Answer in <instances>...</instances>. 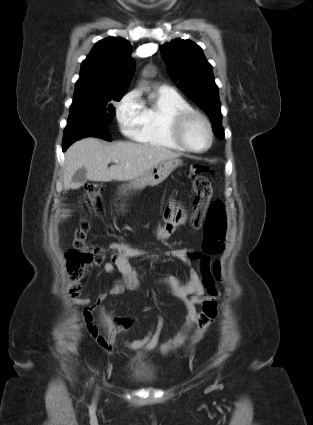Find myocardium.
<instances>
[{
	"mask_svg": "<svg viewBox=\"0 0 313 425\" xmlns=\"http://www.w3.org/2000/svg\"><path fill=\"white\" fill-rule=\"evenodd\" d=\"M194 119L201 120L205 124L208 132V144L202 149L193 148L189 145L185 138L186 128ZM172 135L181 147H183L186 151L193 153H202L207 151L212 146L214 140V133L210 120L203 113L194 109L179 111L174 115L172 120Z\"/></svg>",
	"mask_w": 313,
	"mask_h": 425,
	"instance_id": "obj_1",
	"label": "myocardium"
}]
</instances>
